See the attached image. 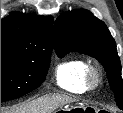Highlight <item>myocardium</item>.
<instances>
[{
    "mask_svg": "<svg viewBox=\"0 0 123 113\" xmlns=\"http://www.w3.org/2000/svg\"><path fill=\"white\" fill-rule=\"evenodd\" d=\"M102 81L101 70L98 66L89 64L85 68V82L86 87L95 89Z\"/></svg>",
    "mask_w": 123,
    "mask_h": 113,
    "instance_id": "obj_1",
    "label": "myocardium"
}]
</instances>
